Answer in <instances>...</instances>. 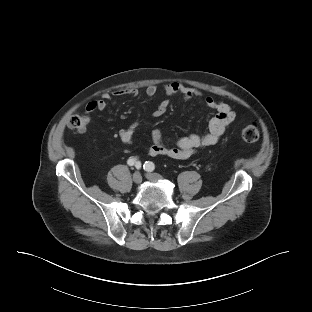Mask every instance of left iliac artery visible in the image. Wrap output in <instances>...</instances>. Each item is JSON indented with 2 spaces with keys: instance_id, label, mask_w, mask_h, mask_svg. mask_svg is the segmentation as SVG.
Returning a JSON list of instances; mask_svg holds the SVG:
<instances>
[{
  "instance_id": "1",
  "label": "left iliac artery",
  "mask_w": 312,
  "mask_h": 312,
  "mask_svg": "<svg viewBox=\"0 0 312 312\" xmlns=\"http://www.w3.org/2000/svg\"><path fill=\"white\" fill-rule=\"evenodd\" d=\"M144 170L148 171V172H152L155 169V165L153 162H145V164L143 165Z\"/></svg>"
}]
</instances>
